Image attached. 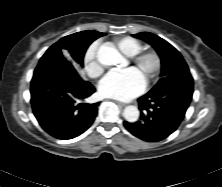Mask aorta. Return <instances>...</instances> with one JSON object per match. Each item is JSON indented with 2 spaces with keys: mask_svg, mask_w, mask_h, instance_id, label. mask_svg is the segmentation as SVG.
Returning <instances> with one entry per match:
<instances>
[{
  "mask_svg": "<svg viewBox=\"0 0 222 187\" xmlns=\"http://www.w3.org/2000/svg\"><path fill=\"white\" fill-rule=\"evenodd\" d=\"M97 59L104 66H114L122 62L123 57L119 51L110 45H103L97 52ZM139 110L136 106H127L123 111V117L126 121L134 123L139 118Z\"/></svg>",
  "mask_w": 222,
  "mask_h": 187,
  "instance_id": "obj_1",
  "label": "aorta"
}]
</instances>
